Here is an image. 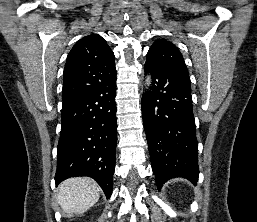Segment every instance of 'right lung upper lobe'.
<instances>
[{"instance_id": "1", "label": "right lung upper lobe", "mask_w": 257, "mask_h": 222, "mask_svg": "<svg viewBox=\"0 0 257 222\" xmlns=\"http://www.w3.org/2000/svg\"><path fill=\"white\" fill-rule=\"evenodd\" d=\"M114 53L100 35L91 34L73 46L63 74V102L106 81L114 72Z\"/></svg>"}]
</instances>
